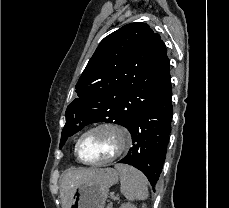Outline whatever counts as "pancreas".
Here are the masks:
<instances>
[{
	"label": "pancreas",
	"mask_w": 229,
	"mask_h": 208,
	"mask_svg": "<svg viewBox=\"0 0 229 208\" xmlns=\"http://www.w3.org/2000/svg\"><path fill=\"white\" fill-rule=\"evenodd\" d=\"M107 208H112V204H108Z\"/></svg>",
	"instance_id": "cf45deb5"
}]
</instances>
